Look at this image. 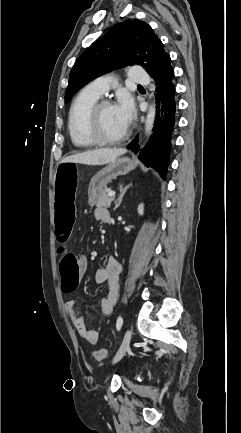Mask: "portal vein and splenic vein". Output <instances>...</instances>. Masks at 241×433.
<instances>
[{"instance_id":"obj_1","label":"portal vein and splenic vein","mask_w":241,"mask_h":433,"mask_svg":"<svg viewBox=\"0 0 241 433\" xmlns=\"http://www.w3.org/2000/svg\"><path fill=\"white\" fill-rule=\"evenodd\" d=\"M108 196H109V197H114V196H115V191H110V192L108 193Z\"/></svg>"}]
</instances>
